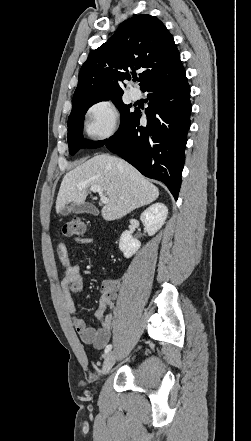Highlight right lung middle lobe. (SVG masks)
I'll return each mask as SVG.
<instances>
[{
  "mask_svg": "<svg viewBox=\"0 0 251 441\" xmlns=\"http://www.w3.org/2000/svg\"><path fill=\"white\" fill-rule=\"evenodd\" d=\"M107 100H111L120 111L121 122H120L119 130L126 124V122L131 117L133 113L130 112L129 110L131 105H125L122 102V96H112L106 98L86 97V98L74 100L72 104V111L68 118V136H67L69 153L71 155H74L81 148H99L107 142V140L89 141L84 139L82 136L84 116L87 110L93 104Z\"/></svg>",
  "mask_w": 251,
  "mask_h": 441,
  "instance_id": "dd1d6c3e",
  "label": "right lung middle lobe"
}]
</instances>
